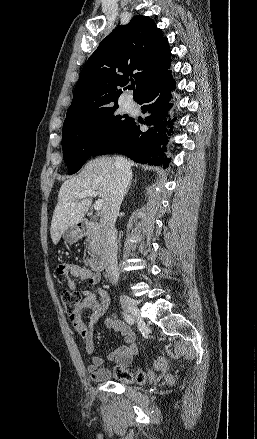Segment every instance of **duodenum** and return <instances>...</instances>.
<instances>
[{
    "mask_svg": "<svg viewBox=\"0 0 257 439\" xmlns=\"http://www.w3.org/2000/svg\"><path fill=\"white\" fill-rule=\"evenodd\" d=\"M91 236V243L94 248V254L90 260V266L93 271L99 273L104 269L105 258L102 251L101 224L96 221H81L78 224V235Z\"/></svg>",
    "mask_w": 257,
    "mask_h": 439,
    "instance_id": "obj_1",
    "label": "duodenum"
}]
</instances>
